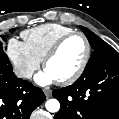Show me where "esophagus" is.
Here are the masks:
<instances>
[{
  "instance_id": "1",
  "label": "esophagus",
  "mask_w": 119,
  "mask_h": 119,
  "mask_svg": "<svg viewBox=\"0 0 119 119\" xmlns=\"http://www.w3.org/2000/svg\"><path fill=\"white\" fill-rule=\"evenodd\" d=\"M44 93H45L47 98L51 97L52 92L50 89H44Z\"/></svg>"
}]
</instances>
